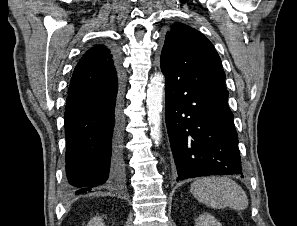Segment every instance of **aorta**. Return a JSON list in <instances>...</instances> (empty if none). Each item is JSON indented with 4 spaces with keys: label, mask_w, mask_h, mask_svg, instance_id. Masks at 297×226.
<instances>
[{
    "label": "aorta",
    "mask_w": 297,
    "mask_h": 226,
    "mask_svg": "<svg viewBox=\"0 0 297 226\" xmlns=\"http://www.w3.org/2000/svg\"><path fill=\"white\" fill-rule=\"evenodd\" d=\"M164 76L156 73L147 88V115L151 130V138L158 145L161 141V112L164 93Z\"/></svg>",
    "instance_id": "obj_1"
}]
</instances>
